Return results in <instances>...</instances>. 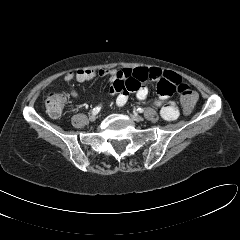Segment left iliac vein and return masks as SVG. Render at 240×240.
Here are the masks:
<instances>
[{
  "label": "left iliac vein",
  "instance_id": "obj_1",
  "mask_svg": "<svg viewBox=\"0 0 240 240\" xmlns=\"http://www.w3.org/2000/svg\"><path fill=\"white\" fill-rule=\"evenodd\" d=\"M130 117L136 122H140L143 120V117L137 114H131Z\"/></svg>",
  "mask_w": 240,
  "mask_h": 240
}]
</instances>
